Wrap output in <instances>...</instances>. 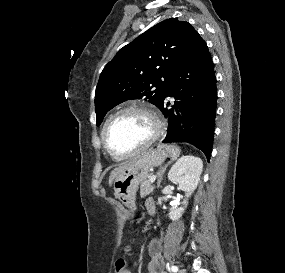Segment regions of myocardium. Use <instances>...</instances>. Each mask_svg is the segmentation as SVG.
<instances>
[{"instance_id": "f54148a6", "label": "myocardium", "mask_w": 285, "mask_h": 273, "mask_svg": "<svg viewBox=\"0 0 285 273\" xmlns=\"http://www.w3.org/2000/svg\"><path fill=\"white\" fill-rule=\"evenodd\" d=\"M126 112H140V113L147 115L153 123L154 132H153L152 136L145 143H143L141 146H139L138 148H136L130 152L121 153V152L114 150L110 146V144L108 143V140H107V132H108V129H109L110 125L112 124V122L118 116H120ZM164 130H165V126H164L163 119H162L160 113L155 108H153L152 106L146 105V104H131V105H127V106L120 108L119 110H117L115 113H113L107 119V121L105 122L103 129H102V142H103L104 148L112 156L117 157V158H127V157L135 156V155L141 153L142 151L146 150L147 148H149L151 145H153L163 135Z\"/></svg>"}]
</instances>
